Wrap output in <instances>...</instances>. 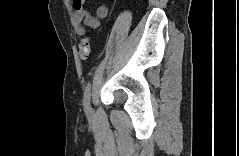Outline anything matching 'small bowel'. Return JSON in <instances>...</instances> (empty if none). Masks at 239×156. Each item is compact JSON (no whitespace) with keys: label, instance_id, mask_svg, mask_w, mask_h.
Masks as SVG:
<instances>
[{"label":"small bowel","instance_id":"obj_1","mask_svg":"<svg viewBox=\"0 0 239 156\" xmlns=\"http://www.w3.org/2000/svg\"><path fill=\"white\" fill-rule=\"evenodd\" d=\"M74 28L78 35L86 34L85 27L97 29L100 26V20L105 19L109 15L107 6H100L96 15H90L86 10V0H74Z\"/></svg>","mask_w":239,"mask_h":156}]
</instances>
